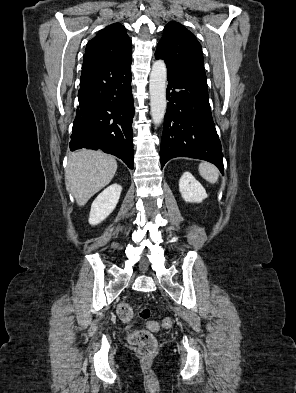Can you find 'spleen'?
Wrapping results in <instances>:
<instances>
[{"instance_id": "obj_1", "label": "spleen", "mask_w": 296, "mask_h": 393, "mask_svg": "<svg viewBox=\"0 0 296 393\" xmlns=\"http://www.w3.org/2000/svg\"><path fill=\"white\" fill-rule=\"evenodd\" d=\"M198 169L200 175L208 182L216 183L218 181L219 173H218V169L214 165L207 162H203L199 164Z\"/></svg>"}]
</instances>
